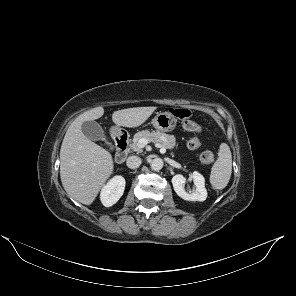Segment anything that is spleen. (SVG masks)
<instances>
[{
  "instance_id": "1",
  "label": "spleen",
  "mask_w": 296,
  "mask_h": 296,
  "mask_svg": "<svg viewBox=\"0 0 296 296\" xmlns=\"http://www.w3.org/2000/svg\"><path fill=\"white\" fill-rule=\"evenodd\" d=\"M232 173V154L229 146L222 143L219 147L218 158L211 169L210 183L214 189L222 190L229 183Z\"/></svg>"
}]
</instances>
